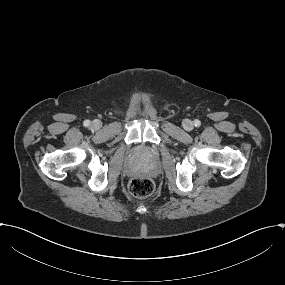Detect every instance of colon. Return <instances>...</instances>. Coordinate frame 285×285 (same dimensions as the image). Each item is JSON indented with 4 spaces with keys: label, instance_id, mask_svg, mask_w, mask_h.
Segmentation results:
<instances>
[{
    "label": "colon",
    "instance_id": "5ec220e1",
    "mask_svg": "<svg viewBox=\"0 0 285 285\" xmlns=\"http://www.w3.org/2000/svg\"><path fill=\"white\" fill-rule=\"evenodd\" d=\"M154 189V181L150 178L135 177L129 182L131 194L138 198L150 196L154 192Z\"/></svg>",
    "mask_w": 285,
    "mask_h": 285
}]
</instances>
